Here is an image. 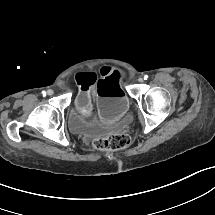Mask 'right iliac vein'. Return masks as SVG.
<instances>
[{
	"mask_svg": "<svg viewBox=\"0 0 215 215\" xmlns=\"http://www.w3.org/2000/svg\"><path fill=\"white\" fill-rule=\"evenodd\" d=\"M47 94L51 96V95L54 94V91L50 89V90L47 91Z\"/></svg>",
	"mask_w": 215,
	"mask_h": 215,
	"instance_id": "63e3f726",
	"label": "right iliac vein"
}]
</instances>
